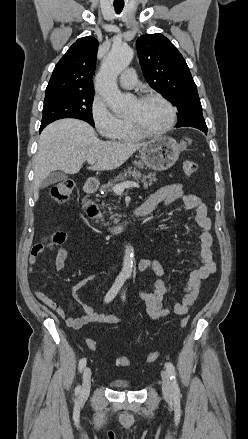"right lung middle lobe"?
<instances>
[{
	"label": "right lung middle lobe",
	"instance_id": "obj_1",
	"mask_svg": "<svg viewBox=\"0 0 248 439\" xmlns=\"http://www.w3.org/2000/svg\"><path fill=\"white\" fill-rule=\"evenodd\" d=\"M94 91H70L46 95L41 125L62 118H76L95 126L92 115Z\"/></svg>",
	"mask_w": 248,
	"mask_h": 439
}]
</instances>
